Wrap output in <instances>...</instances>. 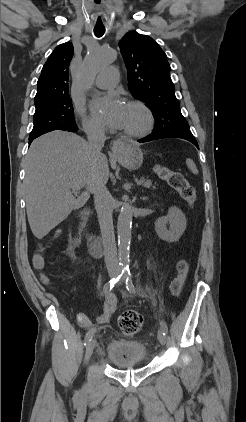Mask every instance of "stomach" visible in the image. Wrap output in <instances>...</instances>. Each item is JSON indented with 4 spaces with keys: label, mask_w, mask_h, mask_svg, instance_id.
Returning <instances> with one entry per match:
<instances>
[{
    "label": "stomach",
    "mask_w": 246,
    "mask_h": 422,
    "mask_svg": "<svg viewBox=\"0 0 246 422\" xmlns=\"http://www.w3.org/2000/svg\"><path fill=\"white\" fill-rule=\"evenodd\" d=\"M118 161L128 169L136 170L143 163V151L138 145L131 142L124 143L117 151Z\"/></svg>",
    "instance_id": "obj_1"
}]
</instances>
